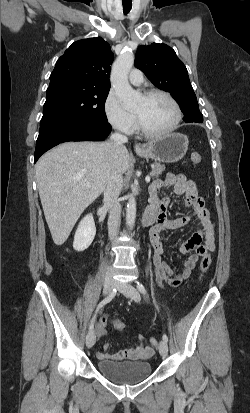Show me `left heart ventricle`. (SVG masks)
Returning <instances> with one entry per match:
<instances>
[{"mask_svg": "<svg viewBox=\"0 0 250 413\" xmlns=\"http://www.w3.org/2000/svg\"><path fill=\"white\" fill-rule=\"evenodd\" d=\"M143 125L152 132H160L169 128L175 120L172 104L163 96L142 97L134 109Z\"/></svg>", "mask_w": 250, "mask_h": 413, "instance_id": "1", "label": "left heart ventricle"}]
</instances>
